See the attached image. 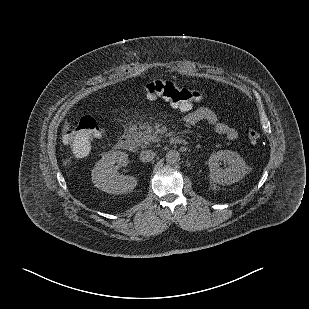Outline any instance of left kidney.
<instances>
[{
  "label": "left kidney",
  "instance_id": "left-kidney-1",
  "mask_svg": "<svg viewBox=\"0 0 309 309\" xmlns=\"http://www.w3.org/2000/svg\"><path fill=\"white\" fill-rule=\"evenodd\" d=\"M224 163V167L220 165ZM210 181L218 185H231L242 180L247 174V165L243 157L234 151L224 150L210 157Z\"/></svg>",
  "mask_w": 309,
  "mask_h": 309
}]
</instances>
